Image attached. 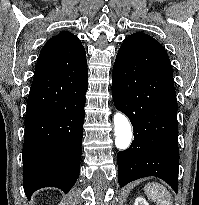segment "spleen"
<instances>
[{
	"instance_id": "spleen-1",
	"label": "spleen",
	"mask_w": 199,
	"mask_h": 205,
	"mask_svg": "<svg viewBox=\"0 0 199 205\" xmlns=\"http://www.w3.org/2000/svg\"><path fill=\"white\" fill-rule=\"evenodd\" d=\"M144 190L147 197L156 202V205H173L172 195L165 186L151 182L145 185Z\"/></svg>"
}]
</instances>
